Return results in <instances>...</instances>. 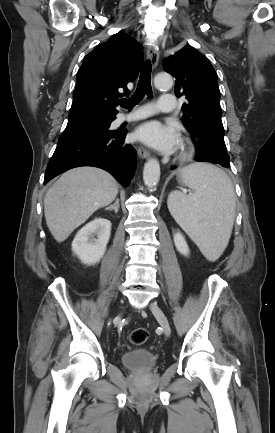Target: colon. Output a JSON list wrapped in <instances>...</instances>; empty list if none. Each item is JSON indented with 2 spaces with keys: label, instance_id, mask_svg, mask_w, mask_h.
Returning <instances> with one entry per match:
<instances>
[{
  "label": "colon",
  "instance_id": "5ec220e1",
  "mask_svg": "<svg viewBox=\"0 0 275 433\" xmlns=\"http://www.w3.org/2000/svg\"><path fill=\"white\" fill-rule=\"evenodd\" d=\"M149 338V332L145 328H137L132 331L130 341L135 346L143 345Z\"/></svg>",
  "mask_w": 275,
  "mask_h": 433
}]
</instances>
